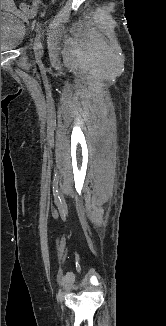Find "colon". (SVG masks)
Returning <instances> with one entry per match:
<instances>
[{
    "label": "colon",
    "mask_w": 166,
    "mask_h": 326,
    "mask_svg": "<svg viewBox=\"0 0 166 326\" xmlns=\"http://www.w3.org/2000/svg\"><path fill=\"white\" fill-rule=\"evenodd\" d=\"M20 9L22 11V13L25 15V16H29L31 15L32 13V8L29 4L27 3H21L20 4Z\"/></svg>",
    "instance_id": "obj_1"
}]
</instances>
